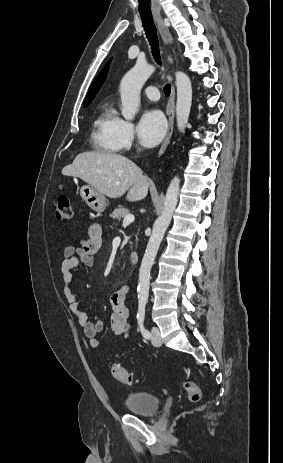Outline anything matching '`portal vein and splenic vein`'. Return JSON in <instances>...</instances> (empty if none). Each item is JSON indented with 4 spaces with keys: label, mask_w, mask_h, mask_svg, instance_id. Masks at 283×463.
<instances>
[{
    "label": "portal vein and splenic vein",
    "mask_w": 283,
    "mask_h": 463,
    "mask_svg": "<svg viewBox=\"0 0 283 463\" xmlns=\"http://www.w3.org/2000/svg\"><path fill=\"white\" fill-rule=\"evenodd\" d=\"M135 217L133 214H128L124 217L123 225L130 224L134 221Z\"/></svg>",
    "instance_id": "portal-vein-and-splenic-vein-1"
}]
</instances>
